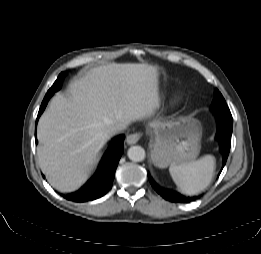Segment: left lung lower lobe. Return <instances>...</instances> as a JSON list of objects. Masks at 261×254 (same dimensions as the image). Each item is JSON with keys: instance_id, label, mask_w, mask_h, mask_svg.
Listing matches in <instances>:
<instances>
[{"instance_id": "obj_1", "label": "left lung lower lobe", "mask_w": 261, "mask_h": 254, "mask_svg": "<svg viewBox=\"0 0 261 254\" xmlns=\"http://www.w3.org/2000/svg\"><path fill=\"white\" fill-rule=\"evenodd\" d=\"M217 116V132L215 139L219 140V150L223 154V166L226 163V160L229 155L230 146H231V135H232V127H233V119L232 117L225 116ZM149 181L152 187L156 190L158 194H160L164 199L171 202H180V203H188L195 200L197 197L184 196L176 191H168L165 189H161L152 179L148 176Z\"/></svg>"}]
</instances>
